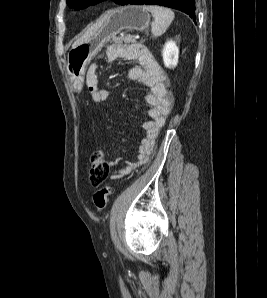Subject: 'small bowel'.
<instances>
[{
  "label": "small bowel",
  "mask_w": 267,
  "mask_h": 298,
  "mask_svg": "<svg viewBox=\"0 0 267 298\" xmlns=\"http://www.w3.org/2000/svg\"><path fill=\"white\" fill-rule=\"evenodd\" d=\"M119 59L135 60L139 63V66L129 70L128 77L149 88L150 92L146 96V102L150 108L148 120L142 123L145 135L138 148L137 161L127 162L122 168H116L121 159L116 158L110 161V166L114 168L113 176L116 178L128 174L136 166L148 161L158 132L164 125L173 104L172 95L167 89L168 77L145 46L122 43L110 45L106 51L107 62L111 63ZM85 82L94 102L99 103L108 99L109 91L101 86L96 64H92L88 68Z\"/></svg>",
  "instance_id": "small-bowel-1"
}]
</instances>
